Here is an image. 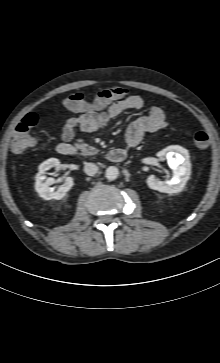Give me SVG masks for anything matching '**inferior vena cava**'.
I'll use <instances>...</instances> for the list:
<instances>
[{
    "label": "inferior vena cava",
    "mask_w": 220,
    "mask_h": 363,
    "mask_svg": "<svg viewBox=\"0 0 220 363\" xmlns=\"http://www.w3.org/2000/svg\"><path fill=\"white\" fill-rule=\"evenodd\" d=\"M84 172L89 176H93L98 172V166L94 163H85Z\"/></svg>",
    "instance_id": "inferior-vena-cava-1"
}]
</instances>
